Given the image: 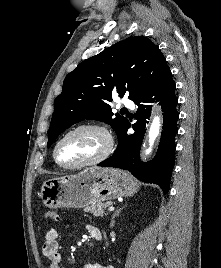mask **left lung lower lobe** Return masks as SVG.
<instances>
[{
  "label": "left lung lower lobe",
  "mask_w": 221,
  "mask_h": 268,
  "mask_svg": "<svg viewBox=\"0 0 221 268\" xmlns=\"http://www.w3.org/2000/svg\"><path fill=\"white\" fill-rule=\"evenodd\" d=\"M175 83L170 77L156 90L140 97L135 104L137 122L132 125L133 134H127L131 127L129 121L124 129L117 135L118 146L114 154L99 163L98 166L116 167L130 171L137 179L158 184L164 194L169 191L170 176L174 166L175 135L178 132V112L176 105L178 99L175 95ZM154 96V98H152ZM159 101L163 111V132L158 151L153 161L142 163L139 159L140 146L146 131L147 119L151 114L150 103Z\"/></svg>",
  "instance_id": "0a47b994"
}]
</instances>
